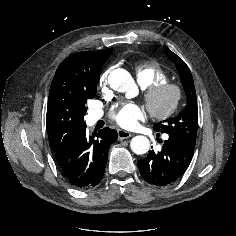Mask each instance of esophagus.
Wrapping results in <instances>:
<instances>
[{"instance_id":"1","label":"esophagus","mask_w":236,"mask_h":236,"mask_svg":"<svg viewBox=\"0 0 236 236\" xmlns=\"http://www.w3.org/2000/svg\"><path fill=\"white\" fill-rule=\"evenodd\" d=\"M117 133H118V139L119 140L127 139V138L132 136V134L130 132L122 130V129H119L117 131Z\"/></svg>"}]
</instances>
